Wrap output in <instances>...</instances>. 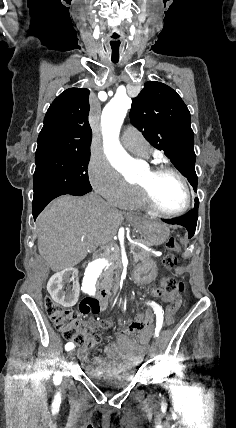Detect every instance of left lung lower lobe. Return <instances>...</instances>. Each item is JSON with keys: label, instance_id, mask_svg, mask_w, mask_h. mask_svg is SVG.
<instances>
[{"label": "left lung lower lobe", "instance_id": "left-lung-lower-lobe-1", "mask_svg": "<svg viewBox=\"0 0 236 428\" xmlns=\"http://www.w3.org/2000/svg\"><path fill=\"white\" fill-rule=\"evenodd\" d=\"M198 207H199V200L195 199L194 208L191 211H189L187 214L174 219H163V221L169 224H178V225L184 226L188 230L189 237L191 238L194 235L196 225H197Z\"/></svg>", "mask_w": 236, "mask_h": 428}]
</instances>
